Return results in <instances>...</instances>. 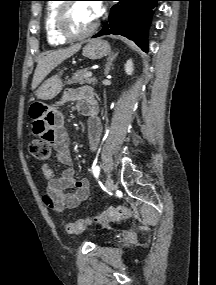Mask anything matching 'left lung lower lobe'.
<instances>
[{"label": "left lung lower lobe", "mask_w": 216, "mask_h": 285, "mask_svg": "<svg viewBox=\"0 0 216 285\" xmlns=\"http://www.w3.org/2000/svg\"><path fill=\"white\" fill-rule=\"evenodd\" d=\"M107 23L93 38L102 35H122L133 40L143 51L148 52V23L152 9L161 0H116Z\"/></svg>", "instance_id": "1"}]
</instances>
